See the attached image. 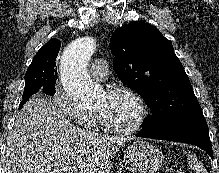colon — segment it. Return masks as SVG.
<instances>
[{
    "label": "colon",
    "instance_id": "obj_1",
    "mask_svg": "<svg viewBox=\"0 0 219 173\" xmlns=\"http://www.w3.org/2000/svg\"><path fill=\"white\" fill-rule=\"evenodd\" d=\"M170 173H185L182 169H173Z\"/></svg>",
    "mask_w": 219,
    "mask_h": 173
}]
</instances>
